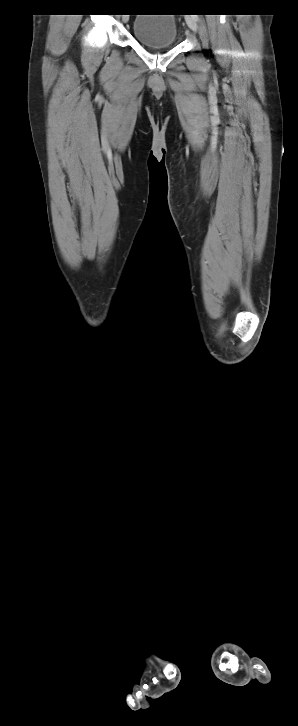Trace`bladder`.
Instances as JSON below:
<instances>
[{
  "label": "bladder",
  "mask_w": 298,
  "mask_h": 726,
  "mask_svg": "<svg viewBox=\"0 0 298 726\" xmlns=\"http://www.w3.org/2000/svg\"><path fill=\"white\" fill-rule=\"evenodd\" d=\"M132 32L137 41L153 49L171 48L178 37L177 23L171 14H137Z\"/></svg>",
  "instance_id": "obj_1"
}]
</instances>
